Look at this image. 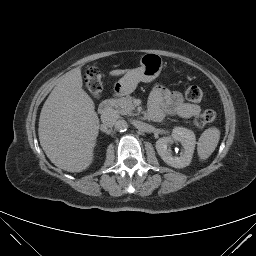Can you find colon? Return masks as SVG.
<instances>
[{
  "label": "colon",
  "mask_w": 256,
  "mask_h": 256,
  "mask_svg": "<svg viewBox=\"0 0 256 256\" xmlns=\"http://www.w3.org/2000/svg\"><path fill=\"white\" fill-rule=\"evenodd\" d=\"M85 87L89 94L98 98L103 90L102 74L97 66H91L87 69L84 77ZM185 97L194 103L201 102L203 99V92L198 86H190L185 91ZM217 112L208 109L198 115L194 120V125L197 128H203L209 123L217 119Z\"/></svg>",
  "instance_id": "colon-1"
}]
</instances>
